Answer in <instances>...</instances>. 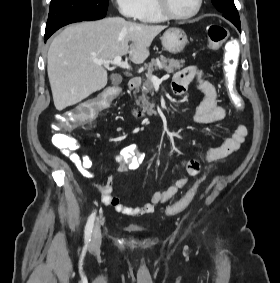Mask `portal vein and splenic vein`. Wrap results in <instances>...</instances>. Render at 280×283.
Returning <instances> with one entry per match:
<instances>
[{"instance_id":"1","label":"portal vein and splenic vein","mask_w":280,"mask_h":283,"mask_svg":"<svg viewBox=\"0 0 280 283\" xmlns=\"http://www.w3.org/2000/svg\"><path fill=\"white\" fill-rule=\"evenodd\" d=\"M94 63L95 64H98V65H109V64H113V65H117L123 69H130V65L127 63V62H124L122 61V56H116L114 57L113 59H109V60H94ZM151 81L152 83H160L161 80L155 76V75H152L151 76Z\"/></svg>"}]
</instances>
